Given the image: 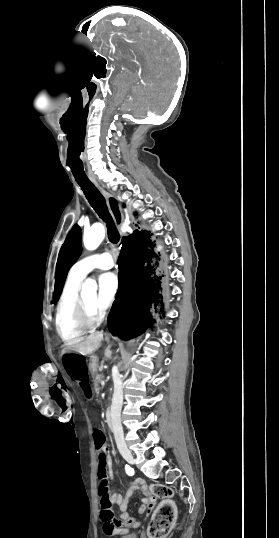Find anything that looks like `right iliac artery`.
Here are the masks:
<instances>
[{
    "mask_svg": "<svg viewBox=\"0 0 279 538\" xmlns=\"http://www.w3.org/2000/svg\"><path fill=\"white\" fill-rule=\"evenodd\" d=\"M125 471L128 475L132 476L134 474V469L131 468L129 465H125Z\"/></svg>",
    "mask_w": 279,
    "mask_h": 538,
    "instance_id": "obj_1",
    "label": "right iliac artery"
}]
</instances>
